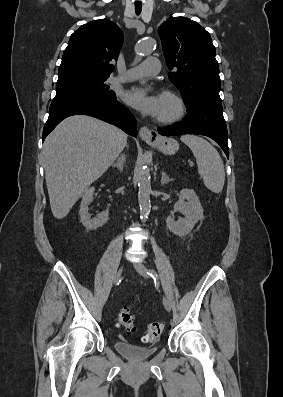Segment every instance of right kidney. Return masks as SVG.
I'll return each mask as SVG.
<instances>
[{
    "instance_id": "right-kidney-1",
    "label": "right kidney",
    "mask_w": 283,
    "mask_h": 397,
    "mask_svg": "<svg viewBox=\"0 0 283 397\" xmlns=\"http://www.w3.org/2000/svg\"><path fill=\"white\" fill-rule=\"evenodd\" d=\"M94 191V187H90L84 191L79 211L81 223L90 230H95L99 227H102L107 222L109 215V211L105 210L96 217L91 218L90 214L88 213V206L93 199Z\"/></svg>"
}]
</instances>
